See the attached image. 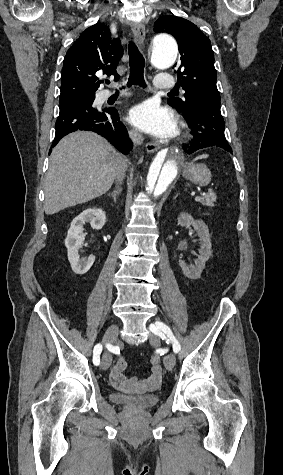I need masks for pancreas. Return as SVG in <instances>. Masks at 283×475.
I'll list each match as a JSON object with an SVG mask.
<instances>
[{
    "label": "pancreas",
    "mask_w": 283,
    "mask_h": 475,
    "mask_svg": "<svg viewBox=\"0 0 283 475\" xmlns=\"http://www.w3.org/2000/svg\"><path fill=\"white\" fill-rule=\"evenodd\" d=\"M216 198V194H214V192H211L209 196H203V198H200L198 202H200V204H203V206H210V208H213L214 202H216Z\"/></svg>",
    "instance_id": "obj_1"
}]
</instances>
